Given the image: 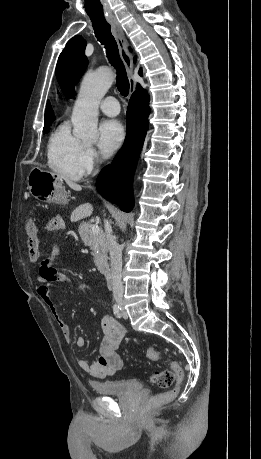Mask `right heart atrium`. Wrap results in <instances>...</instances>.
Returning <instances> with one entry per match:
<instances>
[{
  "label": "right heart atrium",
  "mask_w": 261,
  "mask_h": 459,
  "mask_svg": "<svg viewBox=\"0 0 261 459\" xmlns=\"http://www.w3.org/2000/svg\"><path fill=\"white\" fill-rule=\"evenodd\" d=\"M97 165L98 156L95 150L91 146L84 145L79 160V167L82 175L94 171Z\"/></svg>",
  "instance_id": "obj_1"
}]
</instances>
